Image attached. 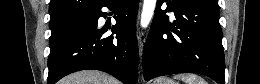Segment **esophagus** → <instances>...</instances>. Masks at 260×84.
Wrapping results in <instances>:
<instances>
[{"mask_svg":"<svg viewBox=\"0 0 260 84\" xmlns=\"http://www.w3.org/2000/svg\"><path fill=\"white\" fill-rule=\"evenodd\" d=\"M137 39H138V44H139V55L141 56V54H142V38H141L140 32H137Z\"/></svg>","mask_w":260,"mask_h":84,"instance_id":"1","label":"esophagus"}]
</instances>
